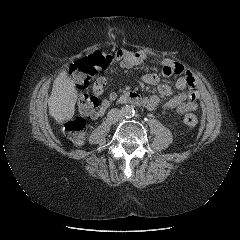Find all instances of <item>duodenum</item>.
I'll list each match as a JSON object with an SVG mask.
<instances>
[{
    "label": "duodenum",
    "mask_w": 240,
    "mask_h": 240,
    "mask_svg": "<svg viewBox=\"0 0 240 240\" xmlns=\"http://www.w3.org/2000/svg\"><path fill=\"white\" fill-rule=\"evenodd\" d=\"M119 103H124V104H132V105H143V100L140 97L139 94L135 92H129L126 94H123L122 96L119 97L118 99Z\"/></svg>",
    "instance_id": "1"
}]
</instances>
